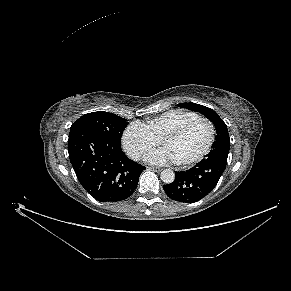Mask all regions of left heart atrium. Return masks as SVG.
<instances>
[{"label":"left heart atrium","instance_id":"left-heart-atrium-1","mask_svg":"<svg viewBox=\"0 0 291 291\" xmlns=\"http://www.w3.org/2000/svg\"><path fill=\"white\" fill-rule=\"evenodd\" d=\"M146 161L151 164L163 165L176 162V158L167 147L150 151L146 156Z\"/></svg>","mask_w":291,"mask_h":291}]
</instances>
